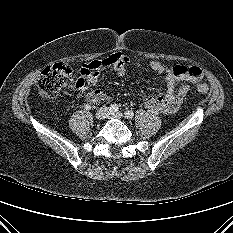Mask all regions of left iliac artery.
Segmentation results:
<instances>
[{
    "label": "left iliac artery",
    "mask_w": 233,
    "mask_h": 233,
    "mask_svg": "<svg viewBox=\"0 0 233 233\" xmlns=\"http://www.w3.org/2000/svg\"><path fill=\"white\" fill-rule=\"evenodd\" d=\"M133 116H134V112H133L132 110H127V111L125 112V117H126L127 119H132Z\"/></svg>",
    "instance_id": "obj_1"
}]
</instances>
